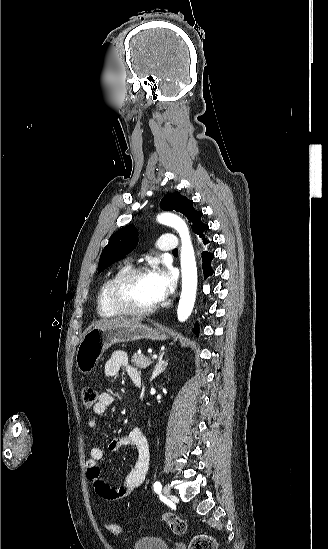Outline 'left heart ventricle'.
Returning a JSON list of instances; mask_svg holds the SVG:
<instances>
[{
  "label": "left heart ventricle",
  "mask_w": 328,
  "mask_h": 549,
  "mask_svg": "<svg viewBox=\"0 0 328 549\" xmlns=\"http://www.w3.org/2000/svg\"><path fill=\"white\" fill-rule=\"evenodd\" d=\"M157 268H160V265L149 267L150 270ZM124 295L134 304L120 305L122 307L144 308L158 302L159 299L152 281V270L151 273L140 275L131 280L124 289Z\"/></svg>",
  "instance_id": "left-heart-ventricle-1"
}]
</instances>
